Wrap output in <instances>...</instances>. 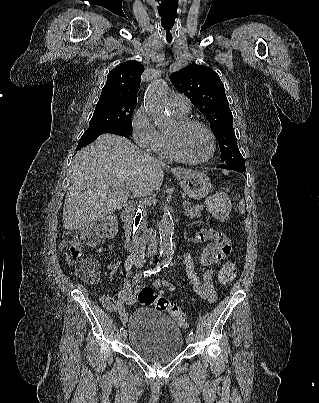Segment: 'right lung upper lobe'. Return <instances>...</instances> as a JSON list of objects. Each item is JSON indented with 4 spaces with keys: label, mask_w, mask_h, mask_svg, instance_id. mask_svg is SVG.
<instances>
[{
    "label": "right lung upper lobe",
    "mask_w": 319,
    "mask_h": 403,
    "mask_svg": "<svg viewBox=\"0 0 319 403\" xmlns=\"http://www.w3.org/2000/svg\"><path fill=\"white\" fill-rule=\"evenodd\" d=\"M144 66L138 61H127L111 70L98 103L137 104L141 74Z\"/></svg>",
    "instance_id": "cb5924a9"
}]
</instances>
